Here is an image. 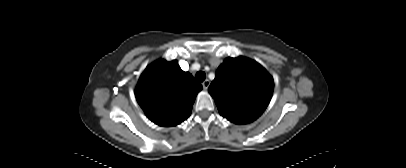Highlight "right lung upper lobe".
I'll list each match as a JSON object with an SVG mask.
<instances>
[{"label":"right lung upper lobe","instance_id":"obj_1","mask_svg":"<svg viewBox=\"0 0 406 168\" xmlns=\"http://www.w3.org/2000/svg\"><path fill=\"white\" fill-rule=\"evenodd\" d=\"M202 85L181 70L176 60H158L142 73L136 87V99L154 123L170 127L186 120Z\"/></svg>","mask_w":406,"mask_h":168}]
</instances>
